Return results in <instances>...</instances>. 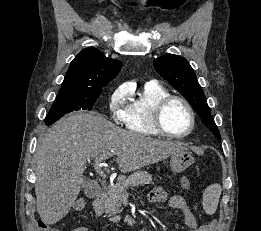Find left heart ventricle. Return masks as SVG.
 <instances>
[{
  "label": "left heart ventricle",
  "instance_id": "b2bd125f",
  "mask_svg": "<svg viewBox=\"0 0 261 231\" xmlns=\"http://www.w3.org/2000/svg\"><path fill=\"white\" fill-rule=\"evenodd\" d=\"M163 121L166 129L174 134H181L190 126V116L186 107L179 101H172L165 109Z\"/></svg>",
  "mask_w": 261,
  "mask_h": 231
}]
</instances>
